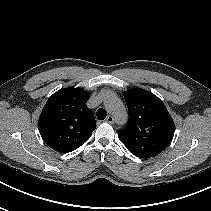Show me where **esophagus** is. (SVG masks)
Returning a JSON list of instances; mask_svg holds the SVG:
<instances>
[{"label":"esophagus","mask_w":211,"mask_h":211,"mask_svg":"<svg viewBox=\"0 0 211 211\" xmlns=\"http://www.w3.org/2000/svg\"><path fill=\"white\" fill-rule=\"evenodd\" d=\"M105 121H106L107 123L113 124V123H114V118H113V116L109 115V116L105 119Z\"/></svg>","instance_id":"34e87169"}]
</instances>
